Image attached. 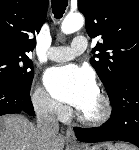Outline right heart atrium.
Instances as JSON below:
<instances>
[{
  "label": "right heart atrium",
  "instance_id": "right-heart-atrium-1",
  "mask_svg": "<svg viewBox=\"0 0 139 150\" xmlns=\"http://www.w3.org/2000/svg\"><path fill=\"white\" fill-rule=\"evenodd\" d=\"M32 103L36 112L44 117H61L65 113V108L41 86L34 90Z\"/></svg>",
  "mask_w": 139,
  "mask_h": 150
}]
</instances>
